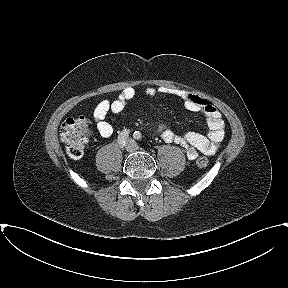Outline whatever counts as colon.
Instances as JSON below:
<instances>
[{"mask_svg": "<svg viewBox=\"0 0 288 288\" xmlns=\"http://www.w3.org/2000/svg\"><path fill=\"white\" fill-rule=\"evenodd\" d=\"M89 119L84 116L67 118L60 127V137L65 144L68 155L72 159H79L84 153L88 141ZM200 168H205L209 160L205 156H200L196 160Z\"/></svg>", "mask_w": 288, "mask_h": 288, "instance_id": "1", "label": "colon"}]
</instances>
